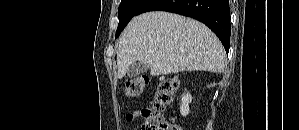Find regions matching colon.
<instances>
[{"label":"colon","mask_w":299,"mask_h":130,"mask_svg":"<svg viewBox=\"0 0 299 130\" xmlns=\"http://www.w3.org/2000/svg\"><path fill=\"white\" fill-rule=\"evenodd\" d=\"M148 82L149 78L145 75L130 79L124 86L125 95L128 98L142 95ZM177 88L178 80L173 76H165L159 80L152 107L140 110V115L144 118L141 130H181L163 116V111L172 104Z\"/></svg>","instance_id":"1"}]
</instances>
